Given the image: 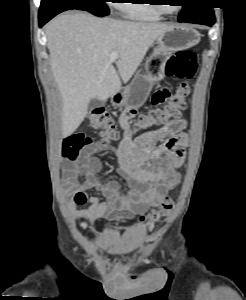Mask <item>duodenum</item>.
<instances>
[{
  "label": "duodenum",
  "instance_id": "410a0bca",
  "mask_svg": "<svg viewBox=\"0 0 246 300\" xmlns=\"http://www.w3.org/2000/svg\"><path fill=\"white\" fill-rule=\"evenodd\" d=\"M120 93H121V90H117V91H116V94H120Z\"/></svg>",
  "mask_w": 246,
  "mask_h": 300
}]
</instances>
